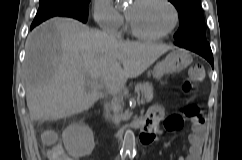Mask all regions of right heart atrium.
<instances>
[{
  "label": "right heart atrium",
  "mask_w": 242,
  "mask_h": 160,
  "mask_svg": "<svg viewBox=\"0 0 242 160\" xmlns=\"http://www.w3.org/2000/svg\"><path fill=\"white\" fill-rule=\"evenodd\" d=\"M93 18L101 29L117 34L123 27L124 18L113 6L111 0H94Z\"/></svg>",
  "instance_id": "right-heart-atrium-1"
}]
</instances>
